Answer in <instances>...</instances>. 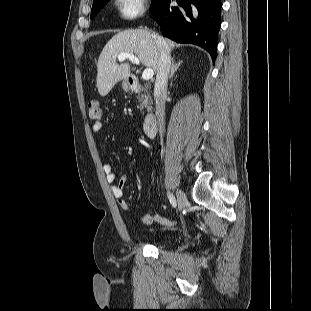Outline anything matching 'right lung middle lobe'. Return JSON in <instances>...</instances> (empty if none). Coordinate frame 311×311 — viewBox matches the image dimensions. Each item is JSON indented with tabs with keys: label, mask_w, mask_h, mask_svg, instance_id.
<instances>
[{
	"label": "right lung middle lobe",
	"mask_w": 311,
	"mask_h": 311,
	"mask_svg": "<svg viewBox=\"0 0 311 311\" xmlns=\"http://www.w3.org/2000/svg\"><path fill=\"white\" fill-rule=\"evenodd\" d=\"M109 0H96L93 1L92 10H91V19H93L99 10L108 2ZM160 0H153L152 7L156 5Z\"/></svg>",
	"instance_id": "obj_1"
}]
</instances>
